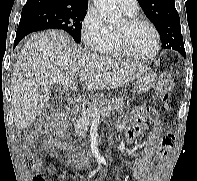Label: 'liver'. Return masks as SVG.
Segmentation results:
<instances>
[{"mask_svg":"<svg viewBox=\"0 0 197 181\" xmlns=\"http://www.w3.org/2000/svg\"><path fill=\"white\" fill-rule=\"evenodd\" d=\"M149 70L141 64L99 56L70 44L63 32L47 30L28 39L21 49L11 79V105L17 129L28 128L45 109L52 85L76 89L75 74L87 75L90 91L115 89Z\"/></svg>","mask_w":197,"mask_h":181,"instance_id":"liver-1","label":"liver"}]
</instances>
